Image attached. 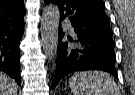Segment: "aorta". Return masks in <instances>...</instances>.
Returning <instances> with one entry per match:
<instances>
[{
	"mask_svg": "<svg viewBox=\"0 0 135 95\" xmlns=\"http://www.w3.org/2000/svg\"><path fill=\"white\" fill-rule=\"evenodd\" d=\"M60 12L56 5H48L42 14L41 37L43 51L49 60L57 53Z\"/></svg>",
	"mask_w": 135,
	"mask_h": 95,
	"instance_id": "1",
	"label": "aorta"
}]
</instances>
